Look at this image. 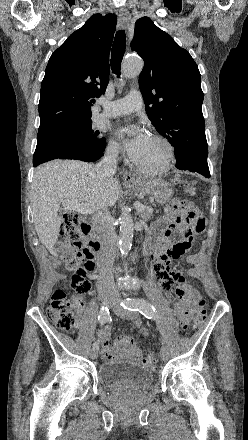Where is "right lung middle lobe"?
<instances>
[{
    "label": "right lung middle lobe",
    "mask_w": 248,
    "mask_h": 440,
    "mask_svg": "<svg viewBox=\"0 0 248 440\" xmlns=\"http://www.w3.org/2000/svg\"><path fill=\"white\" fill-rule=\"evenodd\" d=\"M105 143V138L99 136V132L92 130L91 120H87L53 131H38L36 148H47L59 153H98Z\"/></svg>",
    "instance_id": "obj_1"
}]
</instances>
